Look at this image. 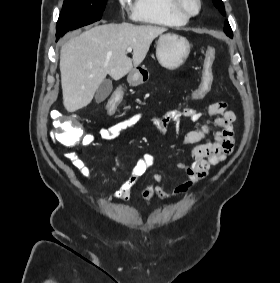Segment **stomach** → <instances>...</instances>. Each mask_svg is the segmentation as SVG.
Masks as SVG:
<instances>
[{"label":"stomach","mask_w":280,"mask_h":283,"mask_svg":"<svg viewBox=\"0 0 280 283\" xmlns=\"http://www.w3.org/2000/svg\"><path fill=\"white\" fill-rule=\"evenodd\" d=\"M190 53V44L188 40L175 33H166L160 35L157 41L156 57L160 65L169 70L179 68L188 58ZM147 70L145 68L133 69L127 81L133 86L144 83Z\"/></svg>","instance_id":"1"}]
</instances>
